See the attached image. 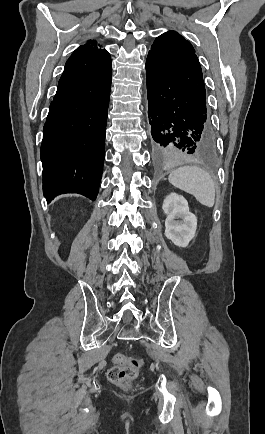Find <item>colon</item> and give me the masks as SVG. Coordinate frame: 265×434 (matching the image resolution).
Returning <instances> with one entry per match:
<instances>
[{
    "mask_svg": "<svg viewBox=\"0 0 265 434\" xmlns=\"http://www.w3.org/2000/svg\"><path fill=\"white\" fill-rule=\"evenodd\" d=\"M116 366L107 371V378L120 386H126L137 379L144 362L140 357L118 355L115 357Z\"/></svg>",
    "mask_w": 265,
    "mask_h": 434,
    "instance_id": "obj_1",
    "label": "colon"
}]
</instances>
